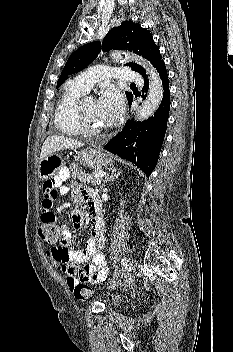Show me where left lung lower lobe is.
I'll list each match as a JSON object with an SVG mask.
<instances>
[{
	"label": "left lung lower lobe",
	"mask_w": 233,
	"mask_h": 352,
	"mask_svg": "<svg viewBox=\"0 0 233 352\" xmlns=\"http://www.w3.org/2000/svg\"><path fill=\"white\" fill-rule=\"evenodd\" d=\"M156 70L163 86V98L157 111L142 122L134 120L127 122L122 131L105 145L106 150L133 162L146 175L152 173L157 163L170 110L169 80L163 60ZM144 81L145 85L142 91L147 92L149 80L144 77ZM142 97L145 98V95ZM132 99L128 101L129 105H131Z\"/></svg>",
	"instance_id": "1"
}]
</instances>
